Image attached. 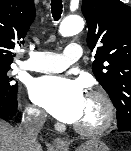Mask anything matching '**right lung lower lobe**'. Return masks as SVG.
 <instances>
[{"mask_svg":"<svg viewBox=\"0 0 131 151\" xmlns=\"http://www.w3.org/2000/svg\"><path fill=\"white\" fill-rule=\"evenodd\" d=\"M17 110V93L14 96L0 95V118H7Z\"/></svg>","mask_w":131,"mask_h":151,"instance_id":"obj_1","label":"right lung lower lobe"}]
</instances>
